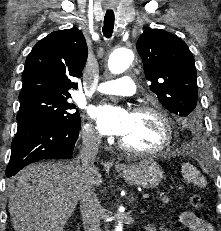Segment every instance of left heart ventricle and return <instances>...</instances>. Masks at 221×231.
Returning a JSON list of instances; mask_svg holds the SVG:
<instances>
[{"mask_svg": "<svg viewBox=\"0 0 221 231\" xmlns=\"http://www.w3.org/2000/svg\"><path fill=\"white\" fill-rule=\"evenodd\" d=\"M164 135V127L155 115L132 113L130 127L121 139L130 147L146 150L161 145Z\"/></svg>", "mask_w": 221, "mask_h": 231, "instance_id": "left-heart-ventricle-1", "label": "left heart ventricle"}]
</instances>
